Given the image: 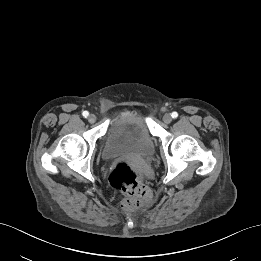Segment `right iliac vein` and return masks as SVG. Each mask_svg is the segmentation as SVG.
I'll use <instances>...</instances> for the list:
<instances>
[{"mask_svg": "<svg viewBox=\"0 0 261 261\" xmlns=\"http://www.w3.org/2000/svg\"><path fill=\"white\" fill-rule=\"evenodd\" d=\"M88 121L89 123H95L96 121V116L94 114H90L89 117H88Z\"/></svg>", "mask_w": 261, "mask_h": 261, "instance_id": "right-iliac-vein-1", "label": "right iliac vein"}]
</instances>
